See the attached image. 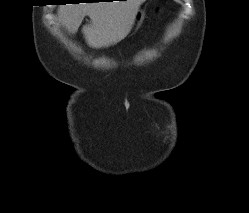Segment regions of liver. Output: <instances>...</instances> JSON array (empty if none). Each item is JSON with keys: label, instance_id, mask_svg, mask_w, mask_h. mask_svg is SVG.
<instances>
[{"label": "liver", "instance_id": "obj_1", "mask_svg": "<svg viewBox=\"0 0 249 213\" xmlns=\"http://www.w3.org/2000/svg\"><path fill=\"white\" fill-rule=\"evenodd\" d=\"M145 0L66 4L58 8L62 25L76 33L85 16L90 23L82 33L92 48L109 47L123 40L131 31L139 7Z\"/></svg>", "mask_w": 249, "mask_h": 213}]
</instances>
